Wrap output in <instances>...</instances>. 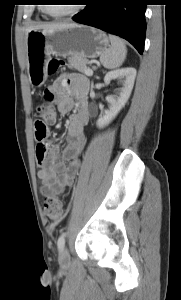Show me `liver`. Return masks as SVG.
I'll return each instance as SVG.
<instances>
[{"label": "liver", "instance_id": "obj_1", "mask_svg": "<svg viewBox=\"0 0 181 300\" xmlns=\"http://www.w3.org/2000/svg\"><path fill=\"white\" fill-rule=\"evenodd\" d=\"M73 25L72 23H51V24H39L33 27H30L27 30V33L32 30L43 31V33H52L58 29H63Z\"/></svg>", "mask_w": 181, "mask_h": 300}]
</instances>
